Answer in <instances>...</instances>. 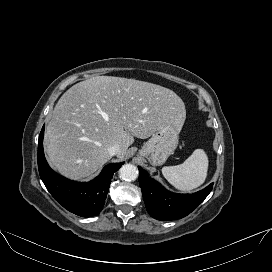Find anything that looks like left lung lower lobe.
<instances>
[{
  "mask_svg": "<svg viewBox=\"0 0 272 272\" xmlns=\"http://www.w3.org/2000/svg\"><path fill=\"white\" fill-rule=\"evenodd\" d=\"M139 168V185L142 190L146 209L151 217L170 221L183 218L198 207L211 192V183L205 189L193 194H176L167 191L148 173Z\"/></svg>",
  "mask_w": 272,
  "mask_h": 272,
  "instance_id": "obj_1",
  "label": "left lung lower lobe"
}]
</instances>
